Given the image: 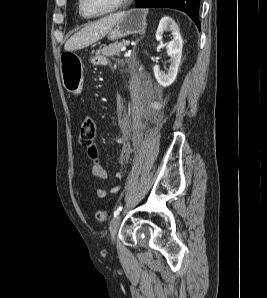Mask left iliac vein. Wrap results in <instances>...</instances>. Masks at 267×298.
Masks as SVG:
<instances>
[{
	"label": "left iliac vein",
	"mask_w": 267,
	"mask_h": 298,
	"mask_svg": "<svg viewBox=\"0 0 267 298\" xmlns=\"http://www.w3.org/2000/svg\"><path fill=\"white\" fill-rule=\"evenodd\" d=\"M120 221H121V216L117 215L116 217H114L112 219V221L110 222V226H109V230H110V236H111V241L114 243L115 241V236L118 230V227L120 225Z\"/></svg>",
	"instance_id": "obj_1"
}]
</instances>
